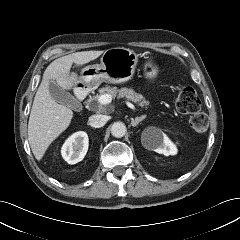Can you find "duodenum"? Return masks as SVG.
I'll list each match as a JSON object with an SVG mask.
<instances>
[{
    "mask_svg": "<svg viewBox=\"0 0 240 240\" xmlns=\"http://www.w3.org/2000/svg\"><path fill=\"white\" fill-rule=\"evenodd\" d=\"M75 96L79 101H83L86 97V91L82 87L77 86L75 89Z\"/></svg>",
    "mask_w": 240,
    "mask_h": 240,
    "instance_id": "duodenum-1",
    "label": "duodenum"
}]
</instances>
